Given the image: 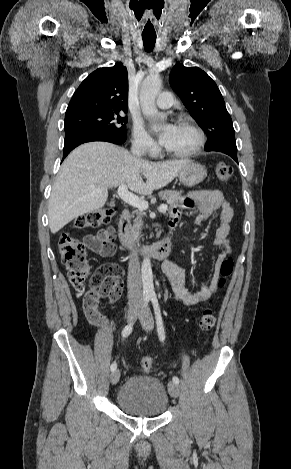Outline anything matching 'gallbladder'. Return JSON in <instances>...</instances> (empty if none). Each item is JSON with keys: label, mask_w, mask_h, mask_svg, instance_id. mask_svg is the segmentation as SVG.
<instances>
[{"label": "gallbladder", "mask_w": 291, "mask_h": 469, "mask_svg": "<svg viewBox=\"0 0 291 469\" xmlns=\"http://www.w3.org/2000/svg\"><path fill=\"white\" fill-rule=\"evenodd\" d=\"M113 204H114V203H113V202H111V203H110V206H113Z\"/></svg>", "instance_id": "1"}]
</instances>
